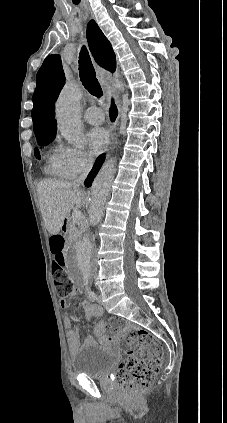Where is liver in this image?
Segmentation results:
<instances>
[{
  "instance_id": "liver-1",
  "label": "liver",
  "mask_w": 227,
  "mask_h": 423,
  "mask_svg": "<svg viewBox=\"0 0 227 423\" xmlns=\"http://www.w3.org/2000/svg\"><path fill=\"white\" fill-rule=\"evenodd\" d=\"M37 194L46 229L52 235L59 233L75 204L76 208H81L88 202V194L73 188L71 182L43 180L37 186Z\"/></svg>"
}]
</instances>
